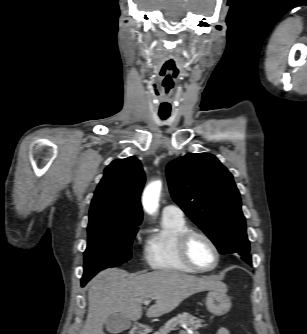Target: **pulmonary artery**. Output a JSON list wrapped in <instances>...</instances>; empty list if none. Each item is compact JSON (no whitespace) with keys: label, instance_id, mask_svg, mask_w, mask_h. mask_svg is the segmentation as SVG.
I'll use <instances>...</instances> for the list:
<instances>
[{"label":"pulmonary artery","instance_id":"pulmonary-artery-1","mask_svg":"<svg viewBox=\"0 0 307 334\" xmlns=\"http://www.w3.org/2000/svg\"><path fill=\"white\" fill-rule=\"evenodd\" d=\"M162 215L164 217H169L177 220L184 219V213L182 209L175 204H168L162 210Z\"/></svg>","mask_w":307,"mask_h":334}]
</instances>
